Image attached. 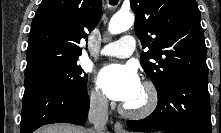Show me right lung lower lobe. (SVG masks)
<instances>
[{
	"label": "right lung lower lobe",
	"mask_w": 221,
	"mask_h": 133,
	"mask_svg": "<svg viewBox=\"0 0 221 133\" xmlns=\"http://www.w3.org/2000/svg\"><path fill=\"white\" fill-rule=\"evenodd\" d=\"M89 104L86 86L75 90L51 78L25 76L20 133L57 122L83 125Z\"/></svg>",
	"instance_id": "right-lung-lower-lobe-1"
}]
</instances>
